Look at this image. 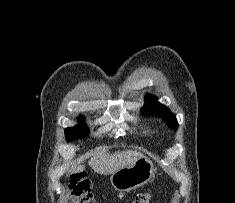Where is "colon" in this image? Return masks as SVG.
I'll return each mask as SVG.
<instances>
[{
  "label": "colon",
  "instance_id": "1",
  "mask_svg": "<svg viewBox=\"0 0 235 203\" xmlns=\"http://www.w3.org/2000/svg\"><path fill=\"white\" fill-rule=\"evenodd\" d=\"M68 197L72 203H96L91 181L82 174L72 175L68 184ZM151 193H139L130 203H150Z\"/></svg>",
  "mask_w": 235,
  "mask_h": 203
}]
</instances>
